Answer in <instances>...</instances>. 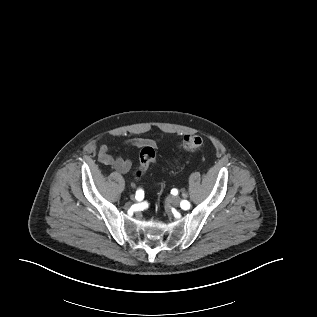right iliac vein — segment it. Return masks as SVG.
Masks as SVG:
<instances>
[{"label":"right iliac vein","mask_w":317,"mask_h":317,"mask_svg":"<svg viewBox=\"0 0 317 317\" xmlns=\"http://www.w3.org/2000/svg\"><path fill=\"white\" fill-rule=\"evenodd\" d=\"M131 200H133V201H134V200H135V197H134V196H131Z\"/></svg>","instance_id":"right-iliac-vein-1"}]
</instances>
